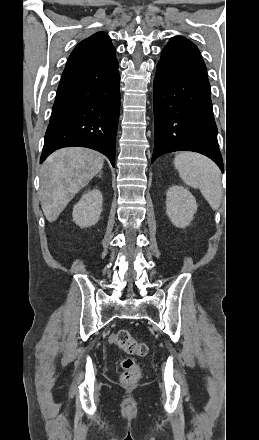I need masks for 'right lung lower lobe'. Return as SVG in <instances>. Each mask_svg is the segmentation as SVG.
Listing matches in <instances>:
<instances>
[{
  "label": "right lung lower lobe",
  "mask_w": 259,
  "mask_h": 440,
  "mask_svg": "<svg viewBox=\"0 0 259 440\" xmlns=\"http://www.w3.org/2000/svg\"><path fill=\"white\" fill-rule=\"evenodd\" d=\"M119 81L115 56L93 66L64 70L40 163L57 149L80 146L103 153L115 166Z\"/></svg>",
  "instance_id": "1"
}]
</instances>
